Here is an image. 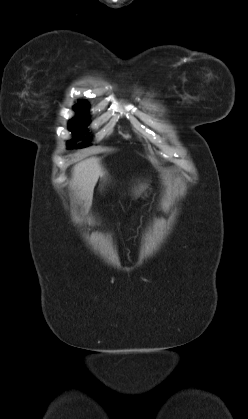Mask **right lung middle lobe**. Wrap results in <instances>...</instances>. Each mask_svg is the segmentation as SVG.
Here are the masks:
<instances>
[{
    "instance_id": "right-lung-middle-lobe-1",
    "label": "right lung middle lobe",
    "mask_w": 248,
    "mask_h": 419,
    "mask_svg": "<svg viewBox=\"0 0 248 419\" xmlns=\"http://www.w3.org/2000/svg\"><path fill=\"white\" fill-rule=\"evenodd\" d=\"M74 108L80 114H86L88 112V106L84 101H81L79 104L75 105ZM88 122L89 120L86 116L78 115L69 122V129L74 133L86 132L87 130L85 128L87 127ZM75 140L77 139L68 142V148H82L89 145L84 143L82 145L76 146L74 143Z\"/></svg>"
}]
</instances>
